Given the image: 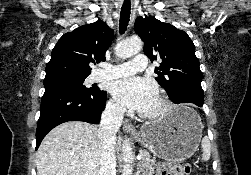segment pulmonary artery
<instances>
[{
	"label": "pulmonary artery",
	"instance_id": "1",
	"mask_svg": "<svg viewBox=\"0 0 251 175\" xmlns=\"http://www.w3.org/2000/svg\"><path fill=\"white\" fill-rule=\"evenodd\" d=\"M150 67L149 58L145 52H137L134 56V62L125 61L117 65H111L105 74L100 78H117L135 73L138 70H147Z\"/></svg>",
	"mask_w": 251,
	"mask_h": 175
}]
</instances>
